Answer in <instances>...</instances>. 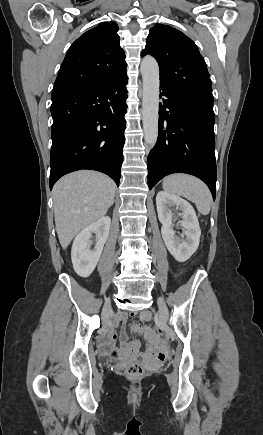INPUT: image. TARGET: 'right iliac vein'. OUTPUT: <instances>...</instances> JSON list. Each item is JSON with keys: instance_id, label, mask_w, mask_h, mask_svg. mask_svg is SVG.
<instances>
[{"instance_id": "right-iliac-vein-1", "label": "right iliac vein", "mask_w": 263, "mask_h": 435, "mask_svg": "<svg viewBox=\"0 0 263 435\" xmlns=\"http://www.w3.org/2000/svg\"><path fill=\"white\" fill-rule=\"evenodd\" d=\"M110 310H111V303H110V301H107L104 305V308H103V317H106Z\"/></svg>"}]
</instances>
